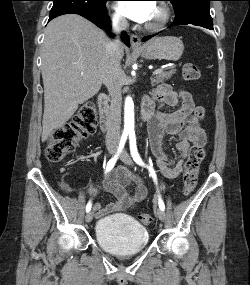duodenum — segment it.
Masks as SVG:
<instances>
[{"mask_svg":"<svg viewBox=\"0 0 250 285\" xmlns=\"http://www.w3.org/2000/svg\"><path fill=\"white\" fill-rule=\"evenodd\" d=\"M98 107H99V120L100 127L102 130H107L109 125V101L108 97L105 94H100L98 97ZM152 114L151 107L144 103L141 115L144 120H147Z\"/></svg>","mask_w":250,"mask_h":285,"instance_id":"obj_1","label":"duodenum"}]
</instances>
